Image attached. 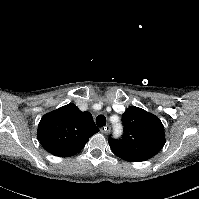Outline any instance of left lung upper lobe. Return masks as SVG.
I'll return each mask as SVG.
<instances>
[{
    "label": "left lung upper lobe",
    "mask_w": 199,
    "mask_h": 199,
    "mask_svg": "<svg viewBox=\"0 0 199 199\" xmlns=\"http://www.w3.org/2000/svg\"><path fill=\"white\" fill-rule=\"evenodd\" d=\"M124 134L109 138L111 150L126 161H145L155 156L165 144L164 127L153 114L130 106L122 115Z\"/></svg>",
    "instance_id": "obj_1"
}]
</instances>
